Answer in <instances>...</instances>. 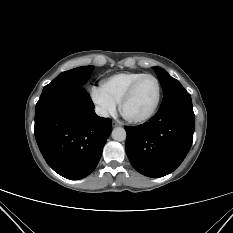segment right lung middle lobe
Masks as SVG:
<instances>
[{"mask_svg":"<svg viewBox=\"0 0 233 233\" xmlns=\"http://www.w3.org/2000/svg\"><path fill=\"white\" fill-rule=\"evenodd\" d=\"M94 66L78 67L59 74L51 83L46 85L43 91L69 86H83L90 78Z\"/></svg>","mask_w":233,"mask_h":233,"instance_id":"right-lung-middle-lobe-1","label":"right lung middle lobe"}]
</instances>
